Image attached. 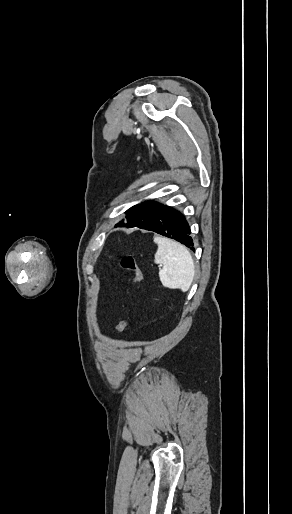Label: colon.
Instances as JSON below:
<instances>
[{
	"instance_id": "colon-1",
	"label": "colon",
	"mask_w": 292,
	"mask_h": 514,
	"mask_svg": "<svg viewBox=\"0 0 292 514\" xmlns=\"http://www.w3.org/2000/svg\"><path fill=\"white\" fill-rule=\"evenodd\" d=\"M120 265H121L122 269L129 274V276L131 278V281L134 282V281H137V280L141 279L142 271L140 270V268L136 264L133 255L128 254V255L122 256L121 261H120ZM128 325H129L128 319L127 318H123L114 327L115 334L123 333L128 328Z\"/></svg>"
}]
</instances>
